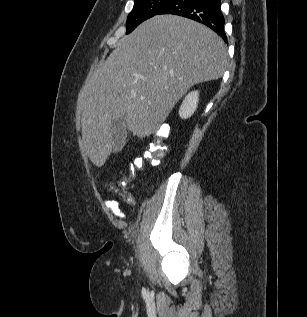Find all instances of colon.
Instances as JSON below:
<instances>
[{
	"mask_svg": "<svg viewBox=\"0 0 307 317\" xmlns=\"http://www.w3.org/2000/svg\"><path fill=\"white\" fill-rule=\"evenodd\" d=\"M170 134V128L167 124H162L152 135V141L150 142L144 156L137 157L134 161V167L131 170V176L133 177L136 171L144 170L146 163L159 164L161 158L166 154L168 150V137ZM102 184L105 188L115 190L114 184L109 179H103Z\"/></svg>",
	"mask_w": 307,
	"mask_h": 317,
	"instance_id": "obj_1",
	"label": "colon"
}]
</instances>
